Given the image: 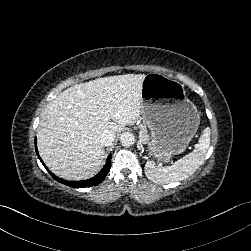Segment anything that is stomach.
I'll list each match as a JSON object with an SVG mask.
<instances>
[{
  "mask_svg": "<svg viewBox=\"0 0 251 251\" xmlns=\"http://www.w3.org/2000/svg\"><path fill=\"white\" fill-rule=\"evenodd\" d=\"M140 110L154 136L150 150L162 157L181 151L199 125V113L184 86L159 72L143 79Z\"/></svg>",
  "mask_w": 251,
  "mask_h": 251,
  "instance_id": "obj_1",
  "label": "stomach"
}]
</instances>
